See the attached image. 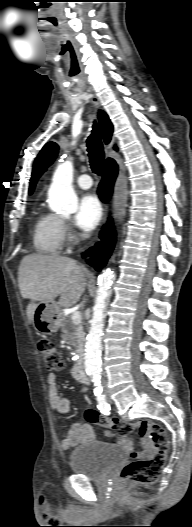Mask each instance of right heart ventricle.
I'll list each match as a JSON object with an SVG mask.
<instances>
[{
    "instance_id": "e07e8e85",
    "label": "right heart ventricle",
    "mask_w": 192,
    "mask_h": 527,
    "mask_svg": "<svg viewBox=\"0 0 192 527\" xmlns=\"http://www.w3.org/2000/svg\"><path fill=\"white\" fill-rule=\"evenodd\" d=\"M33 244L38 253L58 254L64 244L62 219L53 213L41 211L34 223Z\"/></svg>"
}]
</instances>
